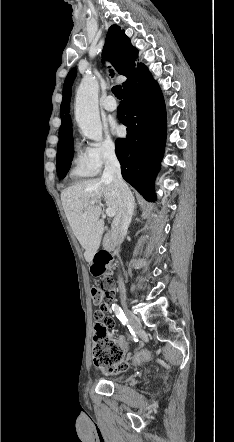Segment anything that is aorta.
<instances>
[{"instance_id": "762f6f07", "label": "aorta", "mask_w": 234, "mask_h": 442, "mask_svg": "<svg viewBox=\"0 0 234 442\" xmlns=\"http://www.w3.org/2000/svg\"><path fill=\"white\" fill-rule=\"evenodd\" d=\"M99 85L95 78L85 77L76 94L75 117L84 136L100 141L102 125L98 110Z\"/></svg>"}]
</instances>
